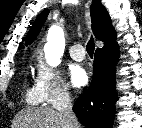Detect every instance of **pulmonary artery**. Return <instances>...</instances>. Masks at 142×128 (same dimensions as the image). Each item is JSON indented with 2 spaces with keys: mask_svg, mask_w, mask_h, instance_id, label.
Wrapping results in <instances>:
<instances>
[{
  "mask_svg": "<svg viewBox=\"0 0 142 128\" xmlns=\"http://www.w3.org/2000/svg\"><path fill=\"white\" fill-rule=\"evenodd\" d=\"M70 56L76 60L81 61L85 58V50L82 45L74 44L69 48Z\"/></svg>",
  "mask_w": 142,
  "mask_h": 128,
  "instance_id": "1",
  "label": "pulmonary artery"
}]
</instances>
